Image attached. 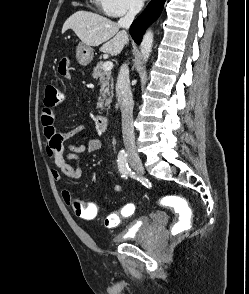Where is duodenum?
<instances>
[{
    "label": "duodenum",
    "instance_id": "1",
    "mask_svg": "<svg viewBox=\"0 0 249 294\" xmlns=\"http://www.w3.org/2000/svg\"><path fill=\"white\" fill-rule=\"evenodd\" d=\"M94 126L99 131H106L108 128V118L103 115H97L94 117Z\"/></svg>",
    "mask_w": 249,
    "mask_h": 294
}]
</instances>
